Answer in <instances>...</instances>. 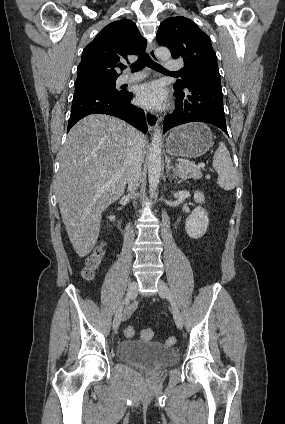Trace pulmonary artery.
<instances>
[{"instance_id":"pulmonary-artery-1","label":"pulmonary artery","mask_w":285,"mask_h":424,"mask_svg":"<svg viewBox=\"0 0 285 424\" xmlns=\"http://www.w3.org/2000/svg\"><path fill=\"white\" fill-rule=\"evenodd\" d=\"M166 68L170 72H175V71H178V70L181 69V65L178 61L169 60V61L166 62ZM144 77H145V74H143V73H138V74H134V75H122L119 78L118 83L124 84V83H128V82L140 80Z\"/></svg>"}]
</instances>
